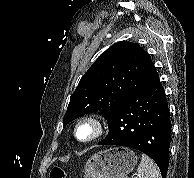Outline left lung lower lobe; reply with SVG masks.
Listing matches in <instances>:
<instances>
[{"instance_id": "obj_1", "label": "left lung lower lobe", "mask_w": 194, "mask_h": 178, "mask_svg": "<svg viewBox=\"0 0 194 178\" xmlns=\"http://www.w3.org/2000/svg\"><path fill=\"white\" fill-rule=\"evenodd\" d=\"M107 121L109 134L98 144L139 150L156 162L166 178L172 125L159 79L119 104Z\"/></svg>"}]
</instances>
